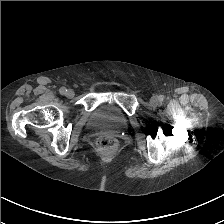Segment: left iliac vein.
I'll use <instances>...</instances> for the list:
<instances>
[{"label":"left iliac vein","mask_w":224,"mask_h":224,"mask_svg":"<svg viewBox=\"0 0 224 224\" xmlns=\"http://www.w3.org/2000/svg\"><path fill=\"white\" fill-rule=\"evenodd\" d=\"M160 102V100H159V97L158 96H153L152 98H151V100H150V103L152 104V105H156V104H158Z\"/></svg>","instance_id":"1"}]
</instances>
